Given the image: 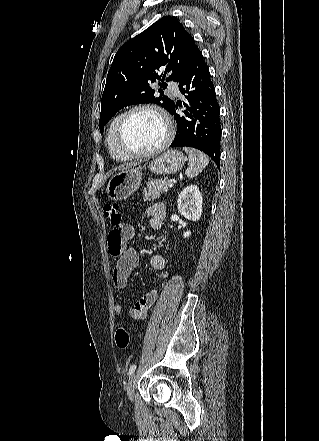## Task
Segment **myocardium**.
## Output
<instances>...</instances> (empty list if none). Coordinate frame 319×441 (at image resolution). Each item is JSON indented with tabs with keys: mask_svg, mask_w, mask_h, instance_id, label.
<instances>
[{
	"mask_svg": "<svg viewBox=\"0 0 319 441\" xmlns=\"http://www.w3.org/2000/svg\"><path fill=\"white\" fill-rule=\"evenodd\" d=\"M139 111H150V112L157 114L164 123L165 137H164L163 141L153 149H150V150L144 151V152H133V151H130L129 149H127L123 145L122 131H123V128H124L127 120L129 119V117L132 114L139 112ZM174 133H175V128H174L173 121L165 110H163L161 107L154 105V104H139V105H135V106L131 107L130 109H128L126 112L123 113V115L120 118V120L117 124V127H116L115 142H116V146L119 149V151L122 154H124L126 157H128V158H146V157L157 155V154L161 153L162 151H164L171 143V141L174 137Z\"/></svg>",
	"mask_w": 319,
	"mask_h": 441,
	"instance_id": "1",
	"label": "myocardium"
}]
</instances>
